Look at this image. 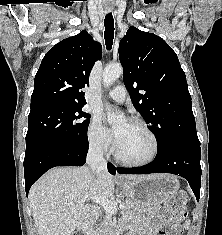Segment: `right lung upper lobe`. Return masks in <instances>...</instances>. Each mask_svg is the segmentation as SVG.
<instances>
[{"label":"right lung upper lobe","mask_w":222,"mask_h":235,"mask_svg":"<svg viewBox=\"0 0 222 235\" xmlns=\"http://www.w3.org/2000/svg\"><path fill=\"white\" fill-rule=\"evenodd\" d=\"M102 56L99 42L83 30L57 43L43 58L35 76L30 114L59 105L86 104L82 88Z\"/></svg>","instance_id":"1"}]
</instances>
